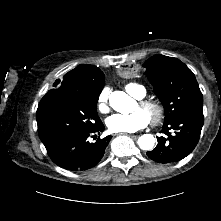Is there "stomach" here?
<instances>
[{
  "label": "stomach",
  "mask_w": 221,
  "mask_h": 221,
  "mask_svg": "<svg viewBox=\"0 0 221 221\" xmlns=\"http://www.w3.org/2000/svg\"><path fill=\"white\" fill-rule=\"evenodd\" d=\"M119 71L123 77L132 79L138 75L139 69L135 63L126 61L120 65Z\"/></svg>",
  "instance_id": "stomach-1"
}]
</instances>
